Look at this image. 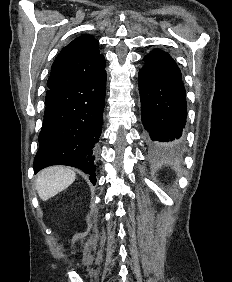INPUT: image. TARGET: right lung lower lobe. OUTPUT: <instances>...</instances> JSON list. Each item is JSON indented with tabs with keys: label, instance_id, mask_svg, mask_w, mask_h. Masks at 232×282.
Instances as JSON below:
<instances>
[{
	"label": "right lung lower lobe",
	"instance_id": "98d812e1",
	"mask_svg": "<svg viewBox=\"0 0 232 282\" xmlns=\"http://www.w3.org/2000/svg\"><path fill=\"white\" fill-rule=\"evenodd\" d=\"M106 71L79 81L46 103L34 171L68 165L96 184L95 154L102 132Z\"/></svg>",
	"mask_w": 232,
	"mask_h": 282
}]
</instances>
